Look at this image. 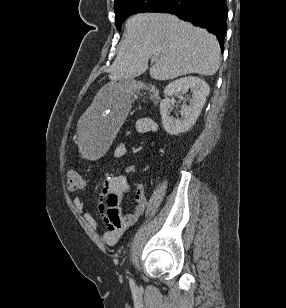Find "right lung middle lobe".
I'll use <instances>...</instances> for the list:
<instances>
[{"label": "right lung middle lobe", "mask_w": 286, "mask_h": 308, "mask_svg": "<svg viewBox=\"0 0 286 308\" xmlns=\"http://www.w3.org/2000/svg\"><path fill=\"white\" fill-rule=\"evenodd\" d=\"M168 0H120L114 4L115 22L120 29L122 22L130 15L140 12H152Z\"/></svg>", "instance_id": "right-lung-middle-lobe-1"}]
</instances>
